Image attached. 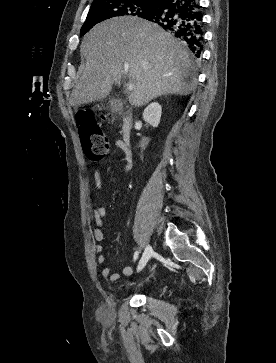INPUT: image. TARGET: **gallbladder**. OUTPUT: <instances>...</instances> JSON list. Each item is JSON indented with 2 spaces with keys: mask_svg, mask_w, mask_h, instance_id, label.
I'll return each mask as SVG.
<instances>
[{
  "mask_svg": "<svg viewBox=\"0 0 276 363\" xmlns=\"http://www.w3.org/2000/svg\"><path fill=\"white\" fill-rule=\"evenodd\" d=\"M122 105L123 104H122L121 100H118L115 98H111L109 100V106H110L111 110H113V111L117 112V111L121 110Z\"/></svg>",
  "mask_w": 276,
  "mask_h": 363,
  "instance_id": "obj_1",
  "label": "gallbladder"
}]
</instances>
